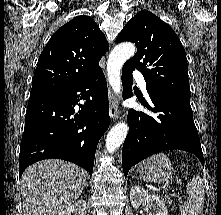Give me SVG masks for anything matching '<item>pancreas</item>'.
<instances>
[{
  "mask_svg": "<svg viewBox=\"0 0 221 215\" xmlns=\"http://www.w3.org/2000/svg\"><path fill=\"white\" fill-rule=\"evenodd\" d=\"M164 199H165V201H166V203H167L168 205H171V200H170V198L165 197Z\"/></svg>",
  "mask_w": 221,
  "mask_h": 215,
  "instance_id": "cf45deb5",
  "label": "pancreas"
}]
</instances>
